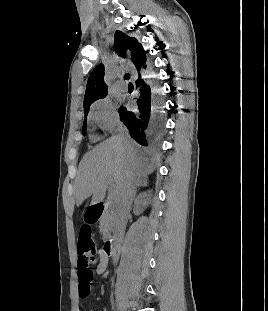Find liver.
Here are the masks:
<instances>
[{
    "label": "liver",
    "mask_w": 268,
    "mask_h": 311,
    "mask_svg": "<svg viewBox=\"0 0 268 311\" xmlns=\"http://www.w3.org/2000/svg\"><path fill=\"white\" fill-rule=\"evenodd\" d=\"M154 170L139 146L128 136H113L87 153L79 164L75 180L77 206L92 196L91 204L102 202L109 180L119 195L127 180L146 178Z\"/></svg>",
    "instance_id": "liver-1"
}]
</instances>
